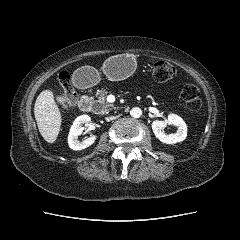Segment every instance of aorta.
Listing matches in <instances>:
<instances>
[{
	"instance_id": "aorta-1",
	"label": "aorta",
	"mask_w": 240,
	"mask_h": 240,
	"mask_svg": "<svg viewBox=\"0 0 240 240\" xmlns=\"http://www.w3.org/2000/svg\"><path fill=\"white\" fill-rule=\"evenodd\" d=\"M130 115L133 118H139L142 115V110L139 107H134L130 110Z\"/></svg>"
}]
</instances>
